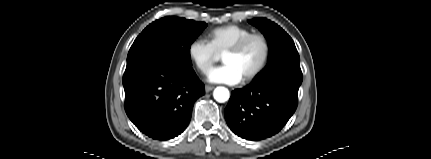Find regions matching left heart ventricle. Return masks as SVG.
<instances>
[{
  "label": "left heart ventricle",
  "mask_w": 431,
  "mask_h": 159,
  "mask_svg": "<svg viewBox=\"0 0 431 159\" xmlns=\"http://www.w3.org/2000/svg\"><path fill=\"white\" fill-rule=\"evenodd\" d=\"M263 52L264 48L262 42L260 40H254L242 53L238 55H224L223 62L232 65L242 78H244L260 64Z\"/></svg>",
  "instance_id": "b2bd125f"
}]
</instances>
